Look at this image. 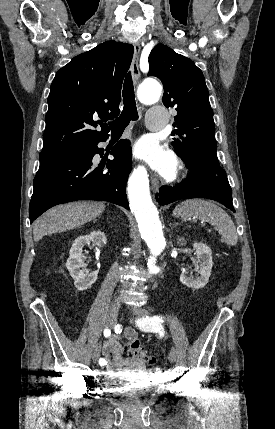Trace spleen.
I'll return each instance as SVG.
<instances>
[{"label": "spleen", "instance_id": "obj_1", "mask_svg": "<svg viewBox=\"0 0 275 429\" xmlns=\"http://www.w3.org/2000/svg\"><path fill=\"white\" fill-rule=\"evenodd\" d=\"M183 220L198 218L218 228L221 241L227 245H236L238 235L230 216L219 206L203 199H190L182 202L173 211Z\"/></svg>", "mask_w": 275, "mask_h": 429}]
</instances>
